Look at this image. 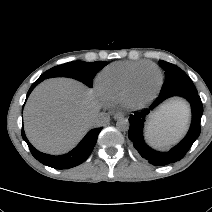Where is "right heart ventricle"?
Wrapping results in <instances>:
<instances>
[{
    "label": "right heart ventricle",
    "instance_id": "1",
    "mask_svg": "<svg viewBox=\"0 0 212 212\" xmlns=\"http://www.w3.org/2000/svg\"><path fill=\"white\" fill-rule=\"evenodd\" d=\"M152 63L116 62L104 68L97 77V88L104 101L110 104L123 103L133 74Z\"/></svg>",
    "mask_w": 212,
    "mask_h": 212
}]
</instances>
